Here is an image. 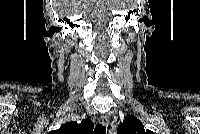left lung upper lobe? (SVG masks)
Instances as JSON below:
<instances>
[{"label":"left lung upper lobe","instance_id":"1","mask_svg":"<svg viewBox=\"0 0 200 134\" xmlns=\"http://www.w3.org/2000/svg\"><path fill=\"white\" fill-rule=\"evenodd\" d=\"M119 134H154L145 130L143 124L134 116L129 115L118 128Z\"/></svg>","mask_w":200,"mask_h":134}]
</instances>
